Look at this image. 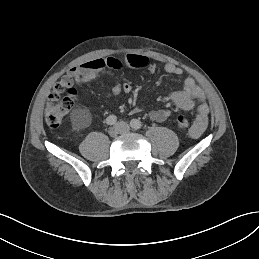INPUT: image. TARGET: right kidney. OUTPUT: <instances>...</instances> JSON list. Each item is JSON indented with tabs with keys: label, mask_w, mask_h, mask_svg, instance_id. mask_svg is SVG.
<instances>
[{
	"label": "right kidney",
	"mask_w": 259,
	"mask_h": 259,
	"mask_svg": "<svg viewBox=\"0 0 259 259\" xmlns=\"http://www.w3.org/2000/svg\"><path fill=\"white\" fill-rule=\"evenodd\" d=\"M70 119L72 123V131L76 134L80 133L81 129L90 127L92 123V116L87 109L76 108L70 114Z\"/></svg>",
	"instance_id": "obj_1"
}]
</instances>
